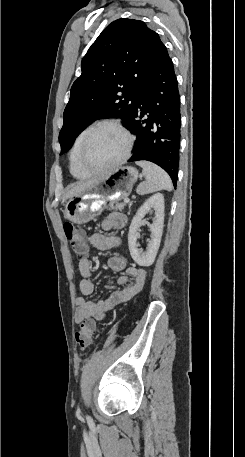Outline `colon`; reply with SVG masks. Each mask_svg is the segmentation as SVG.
Segmentation results:
<instances>
[{"mask_svg":"<svg viewBox=\"0 0 245 457\" xmlns=\"http://www.w3.org/2000/svg\"><path fill=\"white\" fill-rule=\"evenodd\" d=\"M63 229L73 252L81 258L87 256L89 247L83 234L69 222L64 223ZM96 330L97 325L93 319H86L81 322L75 333L76 343L81 349H85L91 344Z\"/></svg>","mask_w":245,"mask_h":457,"instance_id":"1","label":"colon"}]
</instances>
